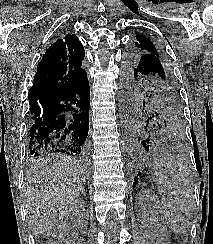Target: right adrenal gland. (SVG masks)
<instances>
[{"instance_id": "1", "label": "right adrenal gland", "mask_w": 213, "mask_h": 244, "mask_svg": "<svg viewBox=\"0 0 213 244\" xmlns=\"http://www.w3.org/2000/svg\"><path fill=\"white\" fill-rule=\"evenodd\" d=\"M81 193H82L84 196H86L85 190H83Z\"/></svg>"}]
</instances>
